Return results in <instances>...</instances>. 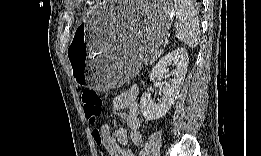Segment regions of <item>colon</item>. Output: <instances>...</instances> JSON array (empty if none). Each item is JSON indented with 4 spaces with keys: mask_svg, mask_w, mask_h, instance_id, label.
I'll use <instances>...</instances> for the list:
<instances>
[{
    "mask_svg": "<svg viewBox=\"0 0 261 156\" xmlns=\"http://www.w3.org/2000/svg\"><path fill=\"white\" fill-rule=\"evenodd\" d=\"M81 101L84 113L89 123H95L101 114L103 101L100 95L93 90H85L81 93ZM97 143H100L98 131L94 133Z\"/></svg>",
    "mask_w": 261,
    "mask_h": 156,
    "instance_id": "colon-1",
    "label": "colon"
}]
</instances>
